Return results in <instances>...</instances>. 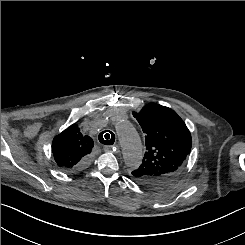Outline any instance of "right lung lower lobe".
<instances>
[{"instance_id": "obj_1", "label": "right lung lower lobe", "mask_w": 245, "mask_h": 245, "mask_svg": "<svg viewBox=\"0 0 245 245\" xmlns=\"http://www.w3.org/2000/svg\"><path fill=\"white\" fill-rule=\"evenodd\" d=\"M87 164H88V159L86 158V159L83 160L79 165H77L76 168H74V169L71 170V171H79V170L85 168V167L87 166Z\"/></svg>"}]
</instances>
